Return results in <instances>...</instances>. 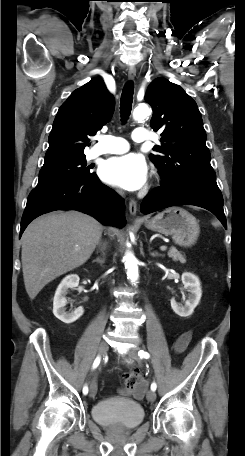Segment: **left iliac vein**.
I'll list each match as a JSON object with an SVG mask.
<instances>
[{
    "label": "left iliac vein",
    "instance_id": "1",
    "mask_svg": "<svg viewBox=\"0 0 245 456\" xmlns=\"http://www.w3.org/2000/svg\"><path fill=\"white\" fill-rule=\"evenodd\" d=\"M138 352H139V348L133 347L129 350L128 354L132 359L139 360ZM146 397H147L148 401L153 402L156 399V393L153 390H149L146 394Z\"/></svg>",
    "mask_w": 245,
    "mask_h": 456
}]
</instances>
